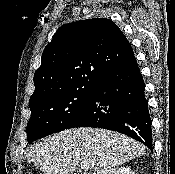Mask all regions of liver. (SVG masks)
Returning a JSON list of instances; mask_svg holds the SVG:
<instances>
[{"mask_svg": "<svg viewBox=\"0 0 175 174\" xmlns=\"http://www.w3.org/2000/svg\"><path fill=\"white\" fill-rule=\"evenodd\" d=\"M144 153L143 144L124 134L85 127L42 139L31 147L27 160L45 174H70L79 167L85 169L84 174H113L119 166ZM91 168L94 170L89 171Z\"/></svg>", "mask_w": 175, "mask_h": 174, "instance_id": "liver-1", "label": "liver"}]
</instances>
